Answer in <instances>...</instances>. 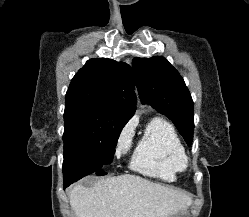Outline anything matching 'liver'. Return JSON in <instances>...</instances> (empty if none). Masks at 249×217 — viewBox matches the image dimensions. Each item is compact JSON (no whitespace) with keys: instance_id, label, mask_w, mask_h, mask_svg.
<instances>
[{"instance_id":"liver-1","label":"liver","mask_w":249,"mask_h":217,"mask_svg":"<svg viewBox=\"0 0 249 217\" xmlns=\"http://www.w3.org/2000/svg\"><path fill=\"white\" fill-rule=\"evenodd\" d=\"M69 199L76 217H170L190 202L180 191L130 174L77 184Z\"/></svg>"}]
</instances>
